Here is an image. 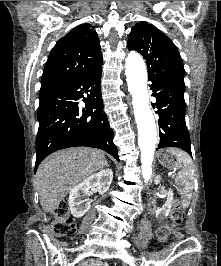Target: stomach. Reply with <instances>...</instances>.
<instances>
[{
	"label": "stomach",
	"mask_w": 221,
	"mask_h": 266,
	"mask_svg": "<svg viewBox=\"0 0 221 266\" xmlns=\"http://www.w3.org/2000/svg\"><path fill=\"white\" fill-rule=\"evenodd\" d=\"M158 160L162 166H164L167 169L178 171V170H184V166L182 163H180L177 159V157L173 154H171L168 149L167 150H161L158 153Z\"/></svg>",
	"instance_id": "stomach-1"
}]
</instances>
